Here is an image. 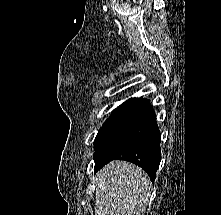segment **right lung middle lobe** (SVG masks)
Returning a JSON list of instances; mask_svg holds the SVG:
<instances>
[{"instance_id":"obj_1","label":"right lung middle lobe","mask_w":221,"mask_h":215,"mask_svg":"<svg viewBox=\"0 0 221 215\" xmlns=\"http://www.w3.org/2000/svg\"><path fill=\"white\" fill-rule=\"evenodd\" d=\"M130 104H131L130 101L125 102L112 112L111 116L100 128L95 138L94 150H96V148L99 146L102 140L107 136V134L112 129L114 124L119 120V118L123 115V113L126 111V109L129 107Z\"/></svg>"}]
</instances>
